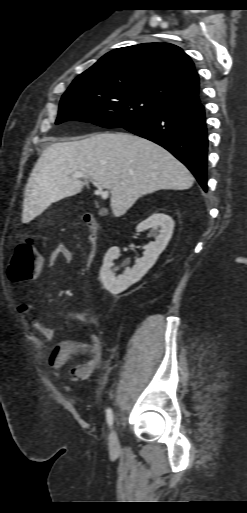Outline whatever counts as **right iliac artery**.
Returning <instances> with one entry per match:
<instances>
[{
    "mask_svg": "<svg viewBox=\"0 0 247 513\" xmlns=\"http://www.w3.org/2000/svg\"><path fill=\"white\" fill-rule=\"evenodd\" d=\"M106 420H107L108 425L112 426L113 420H114V416H113V412H112L111 408H108L106 410Z\"/></svg>",
    "mask_w": 247,
    "mask_h": 513,
    "instance_id": "82829eb1",
    "label": "right iliac artery"
}]
</instances>
